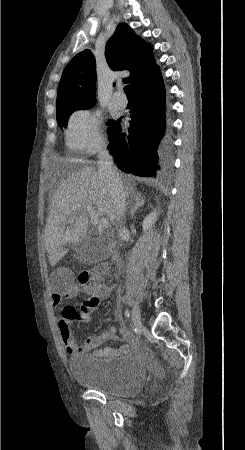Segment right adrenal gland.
<instances>
[{
	"instance_id": "right-adrenal-gland-1",
	"label": "right adrenal gland",
	"mask_w": 245,
	"mask_h": 450,
	"mask_svg": "<svg viewBox=\"0 0 245 450\" xmlns=\"http://www.w3.org/2000/svg\"><path fill=\"white\" fill-rule=\"evenodd\" d=\"M130 194H131V200H130L131 212H130V214H131V218H133L137 209L145 204V199L143 198V196L140 192L132 191Z\"/></svg>"
}]
</instances>
